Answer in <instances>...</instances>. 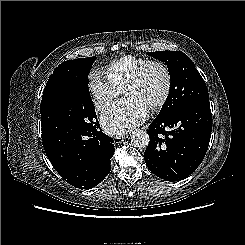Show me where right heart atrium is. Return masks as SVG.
Instances as JSON below:
<instances>
[{"label": "right heart atrium", "mask_w": 245, "mask_h": 245, "mask_svg": "<svg viewBox=\"0 0 245 245\" xmlns=\"http://www.w3.org/2000/svg\"><path fill=\"white\" fill-rule=\"evenodd\" d=\"M88 90L94 107L101 111L120 94V90L100 70H93L88 77Z\"/></svg>", "instance_id": "right-heart-atrium-1"}]
</instances>
